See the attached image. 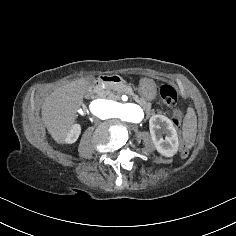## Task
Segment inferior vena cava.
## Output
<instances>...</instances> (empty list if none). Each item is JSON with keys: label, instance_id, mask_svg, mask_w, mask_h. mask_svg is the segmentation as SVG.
Here are the masks:
<instances>
[{"label": "inferior vena cava", "instance_id": "602c4592", "mask_svg": "<svg viewBox=\"0 0 236 236\" xmlns=\"http://www.w3.org/2000/svg\"><path fill=\"white\" fill-rule=\"evenodd\" d=\"M92 121H94V125H99L100 124V120H99V118L98 117H96V116H92Z\"/></svg>", "mask_w": 236, "mask_h": 236}]
</instances>
